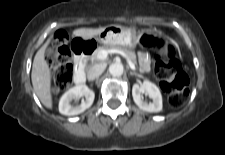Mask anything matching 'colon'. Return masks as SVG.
Returning <instances> with one entry per match:
<instances>
[{
  "label": "colon",
  "instance_id": "5ec220e1",
  "mask_svg": "<svg viewBox=\"0 0 225 155\" xmlns=\"http://www.w3.org/2000/svg\"><path fill=\"white\" fill-rule=\"evenodd\" d=\"M55 51L49 55L53 91L58 92L69 86L73 77L71 51L66 45V36L59 32L55 37ZM155 73L161 80L162 89L168 93V103L173 108L181 107L189 95V79L181 63L170 50L167 59L157 57Z\"/></svg>",
  "mask_w": 225,
  "mask_h": 155
}]
</instances>
